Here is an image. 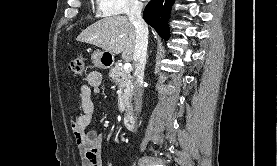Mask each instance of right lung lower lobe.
Listing matches in <instances>:
<instances>
[{"label": "right lung lower lobe", "instance_id": "right-lung-lower-lobe-1", "mask_svg": "<svg viewBox=\"0 0 277 166\" xmlns=\"http://www.w3.org/2000/svg\"><path fill=\"white\" fill-rule=\"evenodd\" d=\"M173 3L174 0H151L143 13L144 20L165 40L170 34L168 18Z\"/></svg>", "mask_w": 277, "mask_h": 166}]
</instances>
